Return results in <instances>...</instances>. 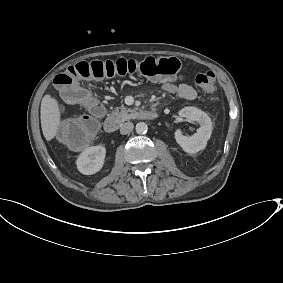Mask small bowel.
<instances>
[{
    "label": "small bowel",
    "mask_w": 283,
    "mask_h": 283,
    "mask_svg": "<svg viewBox=\"0 0 283 283\" xmlns=\"http://www.w3.org/2000/svg\"><path fill=\"white\" fill-rule=\"evenodd\" d=\"M182 77H179L180 82H166L162 85L165 92L177 94L184 100H194L197 97L196 90L189 84L182 82Z\"/></svg>",
    "instance_id": "c3829d8e"
}]
</instances>
